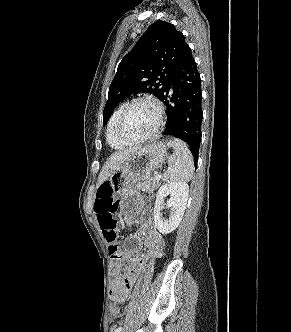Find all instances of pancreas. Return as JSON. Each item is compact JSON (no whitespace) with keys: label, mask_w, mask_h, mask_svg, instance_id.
<instances>
[{"label":"pancreas","mask_w":291,"mask_h":332,"mask_svg":"<svg viewBox=\"0 0 291 332\" xmlns=\"http://www.w3.org/2000/svg\"><path fill=\"white\" fill-rule=\"evenodd\" d=\"M160 186V182L155 177L149 178L143 182H139L136 187L144 192H153Z\"/></svg>","instance_id":"pancreas-1"}]
</instances>
